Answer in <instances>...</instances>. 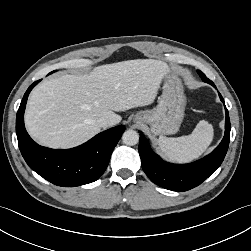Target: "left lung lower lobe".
<instances>
[{"label": "left lung lower lobe", "instance_id": "left-lung-lower-lobe-1", "mask_svg": "<svg viewBox=\"0 0 251 251\" xmlns=\"http://www.w3.org/2000/svg\"><path fill=\"white\" fill-rule=\"evenodd\" d=\"M209 84L215 85L209 81ZM221 101L224 100L219 93ZM225 105V104H224ZM226 111L225 135L221 143L206 157L189 164H171L163 161L150 148L146 137L140 132L139 155L141 165L152 182L173 191H187L200 185L223 162L230 140V120Z\"/></svg>", "mask_w": 251, "mask_h": 251}]
</instances>
